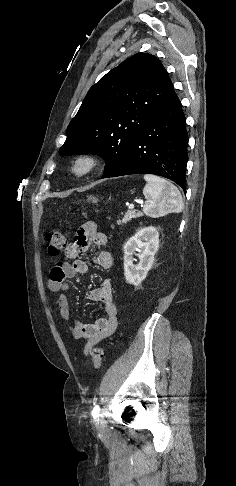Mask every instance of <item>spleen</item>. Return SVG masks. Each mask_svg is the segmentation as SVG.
Listing matches in <instances>:
<instances>
[{
	"label": "spleen",
	"instance_id": "1",
	"mask_svg": "<svg viewBox=\"0 0 236 486\" xmlns=\"http://www.w3.org/2000/svg\"><path fill=\"white\" fill-rule=\"evenodd\" d=\"M146 185L143 195L147 199L143 212L151 217L163 216L168 213H180L183 199L180 191L169 181L152 174H145Z\"/></svg>",
	"mask_w": 236,
	"mask_h": 486
}]
</instances>
